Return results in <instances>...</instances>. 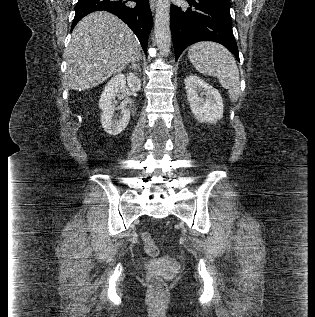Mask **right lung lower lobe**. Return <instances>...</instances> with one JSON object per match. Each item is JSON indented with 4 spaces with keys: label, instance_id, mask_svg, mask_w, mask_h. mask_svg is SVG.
Masks as SVG:
<instances>
[{
    "label": "right lung lower lobe",
    "instance_id": "98d812e1",
    "mask_svg": "<svg viewBox=\"0 0 315 317\" xmlns=\"http://www.w3.org/2000/svg\"><path fill=\"white\" fill-rule=\"evenodd\" d=\"M129 1L136 2V6H129ZM74 9L76 14L72 29L87 14L105 10L122 19L136 34L144 52H147V41L152 26L149 0H78Z\"/></svg>",
    "mask_w": 315,
    "mask_h": 317
}]
</instances>
